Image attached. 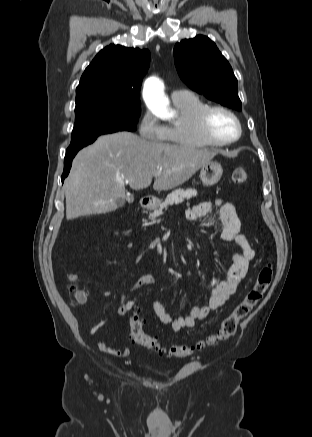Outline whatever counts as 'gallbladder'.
<instances>
[{"mask_svg":"<svg viewBox=\"0 0 312 437\" xmlns=\"http://www.w3.org/2000/svg\"><path fill=\"white\" fill-rule=\"evenodd\" d=\"M126 200L128 201V202H133V200H134V198H133V195H131V196H128L127 198H126ZM124 200H118V206H123L124 205Z\"/></svg>","mask_w":312,"mask_h":437,"instance_id":"obj_1","label":"gallbladder"}]
</instances>
